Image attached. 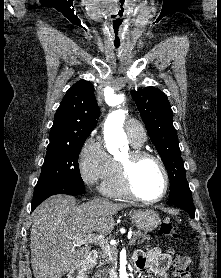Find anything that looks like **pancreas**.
<instances>
[{
  "label": "pancreas",
  "instance_id": "cf45deb5",
  "mask_svg": "<svg viewBox=\"0 0 221 278\" xmlns=\"http://www.w3.org/2000/svg\"><path fill=\"white\" fill-rule=\"evenodd\" d=\"M133 236H134V242L136 240H138V242H137L138 244H141V243H144V242L149 243V241L151 240V238L148 234L142 233L140 231L134 232ZM117 255H118V250L115 246H112V258L109 256V254L106 250H103L99 255V259L102 262H99V263L95 264V265H98L97 267H99V269H97L95 271L92 278H108V274H109L110 269L106 268V267L101 268V266L110 264L111 260H113L114 263H116Z\"/></svg>",
  "mask_w": 221,
  "mask_h": 278
}]
</instances>
